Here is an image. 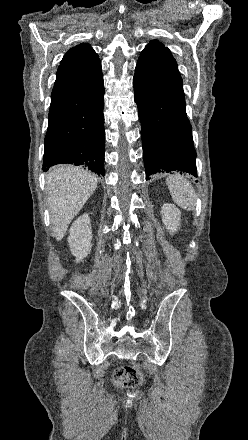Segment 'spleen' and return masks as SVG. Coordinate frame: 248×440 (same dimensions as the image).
Returning a JSON list of instances; mask_svg holds the SVG:
<instances>
[{
	"label": "spleen",
	"instance_id": "1",
	"mask_svg": "<svg viewBox=\"0 0 248 440\" xmlns=\"http://www.w3.org/2000/svg\"><path fill=\"white\" fill-rule=\"evenodd\" d=\"M166 184L173 201L182 209L192 211L196 206V193L191 183L181 175H172L166 179Z\"/></svg>",
	"mask_w": 248,
	"mask_h": 440
}]
</instances>
